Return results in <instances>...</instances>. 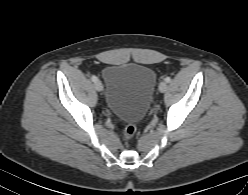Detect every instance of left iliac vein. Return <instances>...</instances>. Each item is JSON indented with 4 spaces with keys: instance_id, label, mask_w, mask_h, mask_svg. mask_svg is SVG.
<instances>
[{
    "instance_id": "left-iliac-vein-1",
    "label": "left iliac vein",
    "mask_w": 248,
    "mask_h": 195,
    "mask_svg": "<svg viewBox=\"0 0 248 195\" xmlns=\"http://www.w3.org/2000/svg\"><path fill=\"white\" fill-rule=\"evenodd\" d=\"M166 90H167V83L165 81H163L159 84V91L165 92Z\"/></svg>"
}]
</instances>
